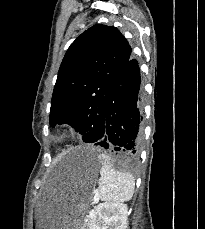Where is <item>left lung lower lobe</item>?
Returning <instances> with one entry per match:
<instances>
[{
	"label": "left lung lower lobe",
	"mask_w": 205,
	"mask_h": 229,
	"mask_svg": "<svg viewBox=\"0 0 205 229\" xmlns=\"http://www.w3.org/2000/svg\"><path fill=\"white\" fill-rule=\"evenodd\" d=\"M140 83L138 62L130 58L108 94L103 121L88 132V143L118 151L127 161L138 157L143 119Z\"/></svg>",
	"instance_id": "1"
}]
</instances>
